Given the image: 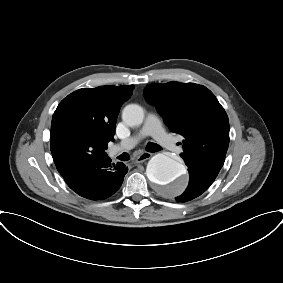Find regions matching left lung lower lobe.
<instances>
[{"mask_svg": "<svg viewBox=\"0 0 283 283\" xmlns=\"http://www.w3.org/2000/svg\"><path fill=\"white\" fill-rule=\"evenodd\" d=\"M188 172L190 176L189 184L185 192L176 197L178 202H187L200 196L216 178L214 175L207 174L192 167H188Z\"/></svg>", "mask_w": 283, "mask_h": 283, "instance_id": "left-lung-lower-lobe-1", "label": "left lung lower lobe"}]
</instances>
